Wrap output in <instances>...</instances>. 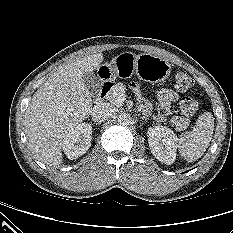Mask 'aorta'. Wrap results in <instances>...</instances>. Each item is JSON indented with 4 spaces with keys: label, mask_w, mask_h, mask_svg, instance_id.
<instances>
[{
    "label": "aorta",
    "mask_w": 233,
    "mask_h": 233,
    "mask_svg": "<svg viewBox=\"0 0 233 233\" xmlns=\"http://www.w3.org/2000/svg\"><path fill=\"white\" fill-rule=\"evenodd\" d=\"M118 122L122 125H129L131 123V116L128 113H121L118 115Z\"/></svg>",
    "instance_id": "1"
}]
</instances>
